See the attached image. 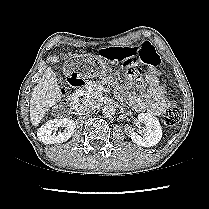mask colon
Segmentation results:
<instances>
[{
    "mask_svg": "<svg viewBox=\"0 0 209 209\" xmlns=\"http://www.w3.org/2000/svg\"><path fill=\"white\" fill-rule=\"evenodd\" d=\"M101 56L110 60H118L126 67L129 64L141 62L150 67H156L160 64V55L150 42H143L133 47L107 48L99 49ZM181 119L180 108L175 105H169L164 113L163 120L167 126H175Z\"/></svg>",
    "mask_w": 209,
    "mask_h": 209,
    "instance_id": "colon-1",
    "label": "colon"
}]
</instances>
